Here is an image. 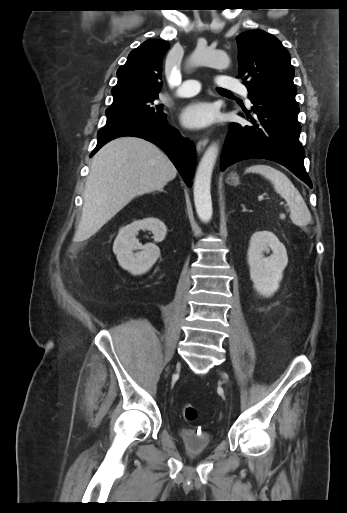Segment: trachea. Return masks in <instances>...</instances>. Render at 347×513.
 <instances>
[{
    "label": "trachea",
    "instance_id": "3493384b",
    "mask_svg": "<svg viewBox=\"0 0 347 513\" xmlns=\"http://www.w3.org/2000/svg\"><path fill=\"white\" fill-rule=\"evenodd\" d=\"M218 92H220V93H227V94H231V93H230V91L225 90V89H222V88H219V89H218Z\"/></svg>",
    "mask_w": 347,
    "mask_h": 513
}]
</instances>
